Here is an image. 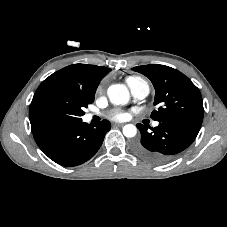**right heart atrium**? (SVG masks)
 Segmentation results:
<instances>
[{
	"mask_svg": "<svg viewBox=\"0 0 227 227\" xmlns=\"http://www.w3.org/2000/svg\"><path fill=\"white\" fill-rule=\"evenodd\" d=\"M102 91V85H100L97 89V92L100 93Z\"/></svg>",
	"mask_w": 227,
	"mask_h": 227,
	"instance_id": "d8ad5b80",
	"label": "right heart atrium"
}]
</instances>
